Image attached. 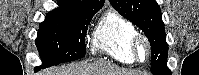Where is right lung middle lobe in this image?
I'll list each match as a JSON object with an SVG mask.
<instances>
[{
	"instance_id": "obj_1",
	"label": "right lung middle lobe",
	"mask_w": 199,
	"mask_h": 75,
	"mask_svg": "<svg viewBox=\"0 0 199 75\" xmlns=\"http://www.w3.org/2000/svg\"><path fill=\"white\" fill-rule=\"evenodd\" d=\"M92 17L59 10L48 13L36 39L42 66L35 70L83 58L85 34Z\"/></svg>"
}]
</instances>
